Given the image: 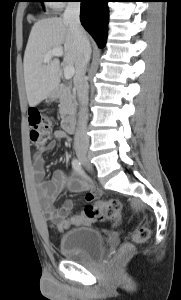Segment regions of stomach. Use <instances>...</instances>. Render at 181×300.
Wrapping results in <instances>:
<instances>
[{
	"label": "stomach",
	"instance_id": "stomach-1",
	"mask_svg": "<svg viewBox=\"0 0 181 300\" xmlns=\"http://www.w3.org/2000/svg\"><path fill=\"white\" fill-rule=\"evenodd\" d=\"M56 97H57V92L53 91L51 94H49L48 96H46L44 98V100H45L46 103H49V102L53 101Z\"/></svg>",
	"mask_w": 181,
	"mask_h": 300
}]
</instances>
